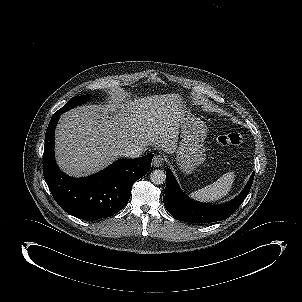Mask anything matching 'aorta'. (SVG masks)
Returning a JSON list of instances; mask_svg holds the SVG:
<instances>
[{"instance_id":"obj_1","label":"aorta","mask_w":302,"mask_h":302,"mask_svg":"<svg viewBox=\"0 0 302 302\" xmlns=\"http://www.w3.org/2000/svg\"><path fill=\"white\" fill-rule=\"evenodd\" d=\"M150 180L155 185H161L166 182V174L163 170H153L150 174Z\"/></svg>"}]
</instances>
